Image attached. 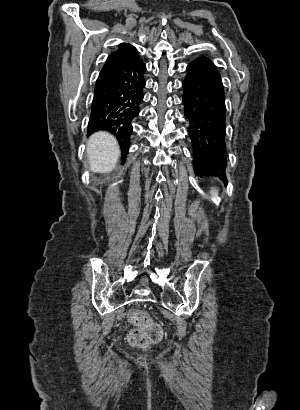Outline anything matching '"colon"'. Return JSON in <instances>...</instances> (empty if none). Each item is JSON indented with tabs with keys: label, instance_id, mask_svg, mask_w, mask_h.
Masks as SVG:
<instances>
[{
	"label": "colon",
	"instance_id": "1",
	"mask_svg": "<svg viewBox=\"0 0 300 410\" xmlns=\"http://www.w3.org/2000/svg\"><path fill=\"white\" fill-rule=\"evenodd\" d=\"M129 319L136 326L128 335V341L133 347L147 348L161 340L163 335L161 326L153 322L143 311L133 310Z\"/></svg>",
	"mask_w": 300,
	"mask_h": 410
}]
</instances>
